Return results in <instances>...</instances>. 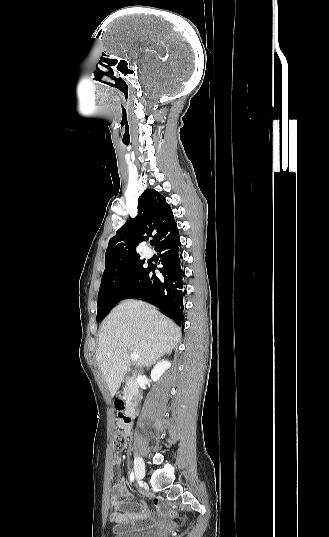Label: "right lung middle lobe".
<instances>
[{"label": "right lung middle lobe", "instance_id": "1", "mask_svg": "<svg viewBox=\"0 0 329 537\" xmlns=\"http://www.w3.org/2000/svg\"><path fill=\"white\" fill-rule=\"evenodd\" d=\"M145 261L134 258L130 261L105 266L98 293L97 322L102 321L108 311L120 300L128 297L139 284L146 266Z\"/></svg>", "mask_w": 329, "mask_h": 537}]
</instances>
